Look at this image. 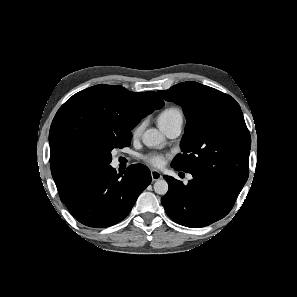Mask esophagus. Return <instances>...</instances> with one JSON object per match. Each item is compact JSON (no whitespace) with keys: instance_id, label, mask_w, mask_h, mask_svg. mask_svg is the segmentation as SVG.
<instances>
[{"instance_id":"1","label":"esophagus","mask_w":297,"mask_h":297,"mask_svg":"<svg viewBox=\"0 0 297 297\" xmlns=\"http://www.w3.org/2000/svg\"><path fill=\"white\" fill-rule=\"evenodd\" d=\"M151 177H152L153 181H157V180H160L162 178V175L157 170H151Z\"/></svg>"}]
</instances>
